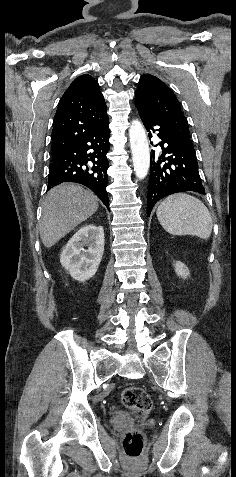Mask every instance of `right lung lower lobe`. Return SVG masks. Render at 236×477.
Listing matches in <instances>:
<instances>
[{
    "mask_svg": "<svg viewBox=\"0 0 236 477\" xmlns=\"http://www.w3.org/2000/svg\"><path fill=\"white\" fill-rule=\"evenodd\" d=\"M109 121L93 130L63 153L53 156L49 166L48 189L63 182H75L90 188L109 209L106 191L110 149Z\"/></svg>",
    "mask_w": 236,
    "mask_h": 477,
    "instance_id": "98d812e1",
    "label": "right lung lower lobe"
}]
</instances>
